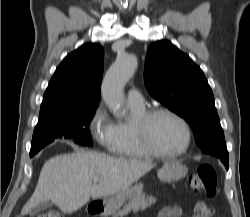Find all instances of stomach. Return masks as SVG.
Segmentation results:
<instances>
[{
  "label": "stomach",
  "mask_w": 250,
  "mask_h": 217,
  "mask_svg": "<svg viewBox=\"0 0 250 217\" xmlns=\"http://www.w3.org/2000/svg\"><path fill=\"white\" fill-rule=\"evenodd\" d=\"M188 168L178 161H170L163 165L158 171V177L165 182H174L186 176ZM142 184H136L118 194L106 197L102 201V213L105 215L114 214L120 207L134 195L141 192Z\"/></svg>",
  "instance_id": "0dacf381"
}]
</instances>
